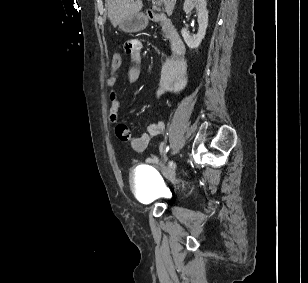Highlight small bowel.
I'll return each mask as SVG.
<instances>
[{
	"instance_id": "1",
	"label": "small bowel",
	"mask_w": 308,
	"mask_h": 283,
	"mask_svg": "<svg viewBox=\"0 0 308 283\" xmlns=\"http://www.w3.org/2000/svg\"><path fill=\"white\" fill-rule=\"evenodd\" d=\"M124 50L134 62V66L128 71V80L130 83H135L139 80L141 75L139 65L142 60V43L138 39L128 40L124 45ZM117 81V70H114L106 81L107 86L114 88L117 85ZM185 85L186 69L184 63L182 61L176 62L174 60H168L162 69L160 88L156 90L155 95L158 98L168 94L177 95L185 88ZM109 101V119L112 123H117L120 111V102L117 92H110ZM164 127V122L160 121L148 125L145 132L139 135H133L128 126L124 123H117L115 131L118 139L128 142L134 151L143 152L148 147L152 137L163 133ZM158 149L160 152L164 151L165 143L161 142ZM147 162L149 164H155L157 159L155 156H151L147 159Z\"/></svg>"
}]
</instances>
